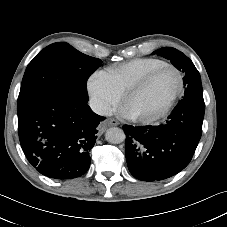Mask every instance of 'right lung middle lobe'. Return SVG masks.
Masks as SVG:
<instances>
[{
	"mask_svg": "<svg viewBox=\"0 0 227 227\" xmlns=\"http://www.w3.org/2000/svg\"><path fill=\"white\" fill-rule=\"evenodd\" d=\"M101 63L100 59L85 55L65 42L47 46L26 68L18 109L46 95H63L88 102L86 82Z\"/></svg>",
	"mask_w": 227,
	"mask_h": 227,
	"instance_id": "obj_1",
	"label": "right lung middle lobe"
}]
</instances>
